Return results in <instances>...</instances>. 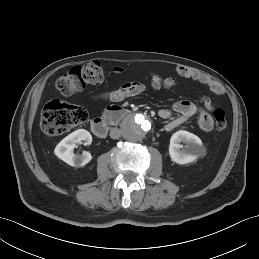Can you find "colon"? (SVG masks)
Segmentation results:
<instances>
[{"instance_id": "colon-1", "label": "colon", "mask_w": 259, "mask_h": 259, "mask_svg": "<svg viewBox=\"0 0 259 259\" xmlns=\"http://www.w3.org/2000/svg\"><path fill=\"white\" fill-rule=\"evenodd\" d=\"M104 69L99 62H90L76 66L61 75L56 81L57 90L64 96H70L90 84L101 83ZM201 100V99H200ZM88 111L80 106L67 104L59 100L48 102L41 116V126L47 135H61L71 128L88 120ZM213 117L218 131L227 127L225 112L222 108H214Z\"/></svg>"}]
</instances>
